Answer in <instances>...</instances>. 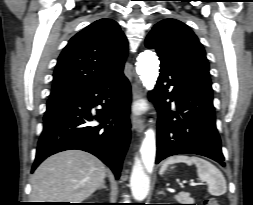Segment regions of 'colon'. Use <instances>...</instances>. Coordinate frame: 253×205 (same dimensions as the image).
I'll return each mask as SVG.
<instances>
[{"mask_svg":"<svg viewBox=\"0 0 253 205\" xmlns=\"http://www.w3.org/2000/svg\"><path fill=\"white\" fill-rule=\"evenodd\" d=\"M204 205H219V203L216 199L208 197L205 199Z\"/></svg>","mask_w":253,"mask_h":205,"instance_id":"5ec220e1","label":"colon"}]
</instances>
